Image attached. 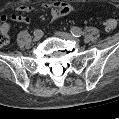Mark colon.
Masks as SVG:
<instances>
[{
  "label": "colon",
  "mask_w": 119,
  "mask_h": 119,
  "mask_svg": "<svg viewBox=\"0 0 119 119\" xmlns=\"http://www.w3.org/2000/svg\"><path fill=\"white\" fill-rule=\"evenodd\" d=\"M118 24V19L116 15H111L109 16L105 22H104V27L106 31L111 32L113 31ZM9 42V31L2 27H0V45H6Z\"/></svg>",
  "instance_id": "colon-1"
}]
</instances>
